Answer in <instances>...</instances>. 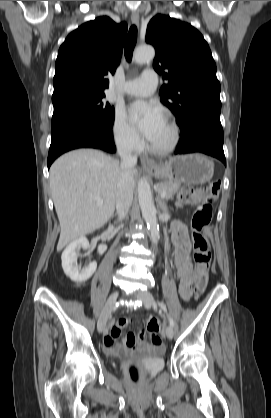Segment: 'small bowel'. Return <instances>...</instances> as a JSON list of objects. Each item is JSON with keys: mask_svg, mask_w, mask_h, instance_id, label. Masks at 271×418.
Returning a JSON list of instances; mask_svg holds the SVG:
<instances>
[{"mask_svg": "<svg viewBox=\"0 0 271 418\" xmlns=\"http://www.w3.org/2000/svg\"><path fill=\"white\" fill-rule=\"evenodd\" d=\"M172 238L175 246L174 265L177 269L179 277V294L182 299L188 300L193 294V284L195 282V274L192 271L190 262L191 244L186 227L180 222H174L172 226ZM130 323L127 317H121L111 323L104 334V350L107 354L116 356L121 353H144L149 351L163 350L161 343L149 345L146 342V333L141 330L137 335L128 333L122 343H117L116 339L120 336L121 330ZM148 331V329H147ZM149 336L150 332L148 331ZM158 335V331L156 332Z\"/></svg>", "mask_w": 271, "mask_h": 418, "instance_id": "1", "label": "small bowel"}]
</instances>
